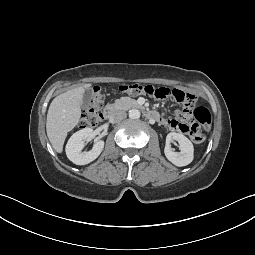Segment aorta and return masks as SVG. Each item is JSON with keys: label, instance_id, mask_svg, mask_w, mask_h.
I'll return each mask as SVG.
<instances>
[{"label": "aorta", "instance_id": "762f6f07", "mask_svg": "<svg viewBox=\"0 0 255 255\" xmlns=\"http://www.w3.org/2000/svg\"><path fill=\"white\" fill-rule=\"evenodd\" d=\"M129 118L139 119L140 118V111L138 109H131L129 111Z\"/></svg>", "mask_w": 255, "mask_h": 255}]
</instances>
